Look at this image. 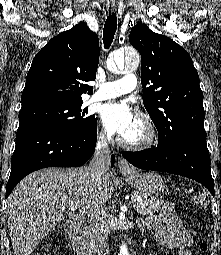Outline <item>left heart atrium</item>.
I'll return each mask as SVG.
<instances>
[{"label": "left heart atrium", "instance_id": "1", "mask_svg": "<svg viewBox=\"0 0 221 255\" xmlns=\"http://www.w3.org/2000/svg\"><path fill=\"white\" fill-rule=\"evenodd\" d=\"M100 117L109 134L120 136L129 131L136 120L131 108L123 102L105 104L101 109Z\"/></svg>", "mask_w": 221, "mask_h": 255}]
</instances>
